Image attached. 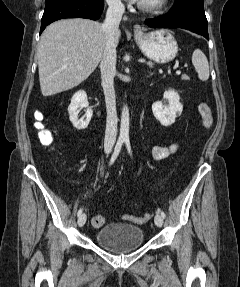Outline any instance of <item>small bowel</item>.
<instances>
[{
  "label": "small bowel",
  "mask_w": 240,
  "mask_h": 287,
  "mask_svg": "<svg viewBox=\"0 0 240 287\" xmlns=\"http://www.w3.org/2000/svg\"><path fill=\"white\" fill-rule=\"evenodd\" d=\"M178 149V143L174 142L167 146H154L151 151L152 158L156 161L167 158Z\"/></svg>",
  "instance_id": "1"
}]
</instances>
